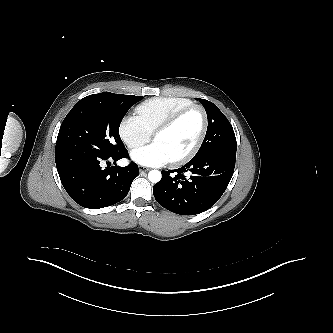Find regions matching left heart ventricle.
Instances as JSON below:
<instances>
[{"label": "left heart ventricle", "instance_id": "1", "mask_svg": "<svg viewBox=\"0 0 333 333\" xmlns=\"http://www.w3.org/2000/svg\"><path fill=\"white\" fill-rule=\"evenodd\" d=\"M201 127V114L194 110L184 116L171 129L157 135L154 142L159 143L172 160L187 152L194 145Z\"/></svg>", "mask_w": 333, "mask_h": 333}]
</instances>
